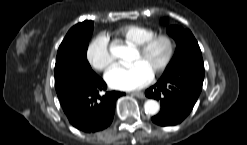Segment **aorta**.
I'll use <instances>...</instances> for the list:
<instances>
[{
  "instance_id": "obj_1",
  "label": "aorta",
  "mask_w": 247,
  "mask_h": 145,
  "mask_svg": "<svg viewBox=\"0 0 247 145\" xmlns=\"http://www.w3.org/2000/svg\"><path fill=\"white\" fill-rule=\"evenodd\" d=\"M111 54L116 58H125L129 49L123 45H113L110 48ZM159 103L156 100H147L144 104V110L147 114L155 115L159 111Z\"/></svg>"
}]
</instances>
